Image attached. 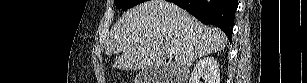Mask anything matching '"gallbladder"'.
<instances>
[{"label": "gallbladder", "mask_w": 307, "mask_h": 83, "mask_svg": "<svg viewBox=\"0 0 307 83\" xmlns=\"http://www.w3.org/2000/svg\"><path fill=\"white\" fill-rule=\"evenodd\" d=\"M161 72L159 69H154V68H149L146 70H142L138 75H137V81L138 83H157V82H162L159 81L161 77Z\"/></svg>", "instance_id": "bac80fb5"}]
</instances>
